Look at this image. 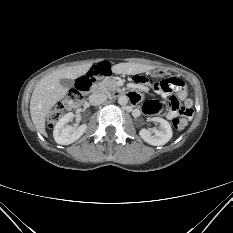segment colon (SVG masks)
Masks as SVG:
<instances>
[{
    "mask_svg": "<svg viewBox=\"0 0 233 233\" xmlns=\"http://www.w3.org/2000/svg\"><path fill=\"white\" fill-rule=\"evenodd\" d=\"M95 68H98V66ZM109 73L110 68L107 73H100L98 77L108 75ZM134 80L141 83L145 82L147 79L142 76H135ZM151 81L154 83L156 90H170L172 85L178 83L173 78L151 79ZM89 86L90 82L86 80V76L79 78L75 83V87L68 92L67 96L60 101L48 115V125L53 127L66 111L78 106L83 101L84 94L88 91ZM147 104L153 114L164 109V105L159 101H149ZM167 108L178 113V115L172 119L173 127L177 130L184 129L188 125L193 114L192 102L187 99L181 104L179 100L172 98L168 103Z\"/></svg>",
    "mask_w": 233,
    "mask_h": 233,
    "instance_id": "1",
    "label": "colon"
}]
</instances>
